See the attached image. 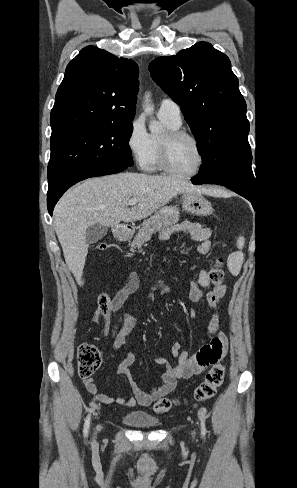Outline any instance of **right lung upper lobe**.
I'll return each mask as SVG.
<instances>
[{
  "label": "right lung upper lobe",
  "mask_w": 297,
  "mask_h": 488,
  "mask_svg": "<svg viewBox=\"0 0 297 488\" xmlns=\"http://www.w3.org/2000/svg\"><path fill=\"white\" fill-rule=\"evenodd\" d=\"M137 64L94 46L68 64L51 111L52 135L80 126L131 123L138 92Z\"/></svg>",
  "instance_id": "obj_1"
}]
</instances>
